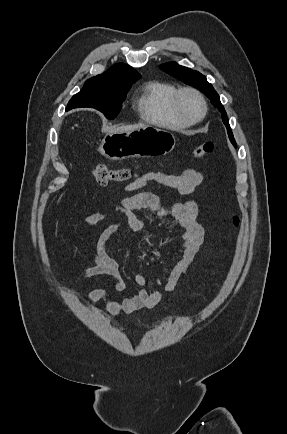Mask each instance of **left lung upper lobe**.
Here are the masks:
<instances>
[{
	"label": "left lung upper lobe",
	"mask_w": 287,
	"mask_h": 434,
	"mask_svg": "<svg viewBox=\"0 0 287 434\" xmlns=\"http://www.w3.org/2000/svg\"><path fill=\"white\" fill-rule=\"evenodd\" d=\"M160 69L169 75L186 82L187 84L199 89L203 92L210 100L211 103L218 108V110L222 113V120L227 128L228 136L230 141L234 146H236V142L233 137V133L231 131L229 121L225 112L223 105L220 102L219 95L214 90L212 85L207 82L206 77L201 73L195 70H191L187 67L180 66L175 62H169L160 65Z\"/></svg>",
	"instance_id": "5c2ea615"
}]
</instances>
